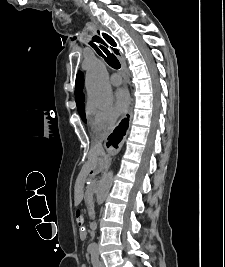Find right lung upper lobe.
<instances>
[{"mask_svg": "<svg viewBox=\"0 0 225 267\" xmlns=\"http://www.w3.org/2000/svg\"><path fill=\"white\" fill-rule=\"evenodd\" d=\"M83 82H84L83 73L79 71L76 76V83H75V100L78 109L84 106V94L82 92Z\"/></svg>", "mask_w": 225, "mask_h": 267, "instance_id": "cb5924a9", "label": "right lung upper lobe"}]
</instances>
